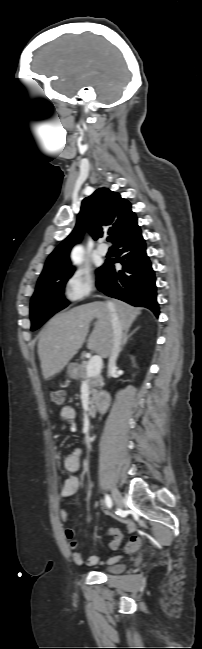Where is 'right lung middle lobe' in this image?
Segmentation results:
<instances>
[{"label":"right lung middle lobe","mask_w":202,"mask_h":649,"mask_svg":"<svg viewBox=\"0 0 202 649\" xmlns=\"http://www.w3.org/2000/svg\"><path fill=\"white\" fill-rule=\"evenodd\" d=\"M74 269L39 278L35 293L31 298V330L38 329L53 314L64 309L68 302L63 297L67 280ZM99 269L97 270L98 273Z\"/></svg>","instance_id":"1"}]
</instances>
